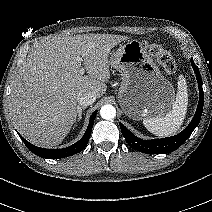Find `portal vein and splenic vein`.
<instances>
[{
    "mask_svg": "<svg viewBox=\"0 0 212 212\" xmlns=\"http://www.w3.org/2000/svg\"><path fill=\"white\" fill-rule=\"evenodd\" d=\"M77 60H78V61H81L82 58H81L80 56H78V57H77ZM84 70H85V69L82 67V68L80 69V74H84Z\"/></svg>",
    "mask_w": 212,
    "mask_h": 212,
    "instance_id": "portal-vein-and-splenic-vein-1",
    "label": "portal vein and splenic vein"
}]
</instances>
